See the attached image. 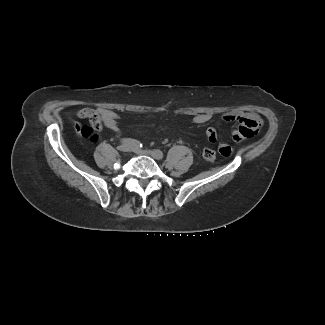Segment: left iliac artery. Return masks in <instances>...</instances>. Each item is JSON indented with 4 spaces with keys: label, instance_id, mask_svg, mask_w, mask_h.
I'll list each match as a JSON object with an SVG mask.
<instances>
[{
    "label": "left iliac artery",
    "instance_id": "left-iliac-artery-1",
    "mask_svg": "<svg viewBox=\"0 0 325 325\" xmlns=\"http://www.w3.org/2000/svg\"><path fill=\"white\" fill-rule=\"evenodd\" d=\"M154 151L158 154V156H159L160 159L163 158V153H162V151H160V150H154Z\"/></svg>",
    "mask_w": 325,
    "mask_h": 325
}]
</instances>
